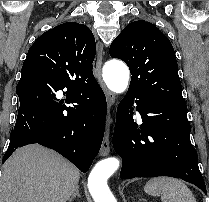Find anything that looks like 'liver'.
Returning a JSON list of instances; mask_svg holds the SVG:
<instances>
[{"label": "liver", "mask_w": 209, "mask_h": 202, "mask_svg": "<svg viewBox=\"0 0 209 202\" xmlns=\"http://www.w3.org/2000/svg\"><path fill=\"white\" fill-rule=\"evenodd\" d=\"M79 178V170L56 152L28 145L3 165L0 202H66Z\"/></svg>", "instance_id": "1"}]
</instances>
